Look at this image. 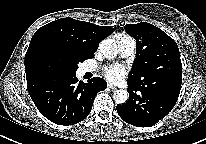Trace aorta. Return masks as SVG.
<instances>
[{
    "label": "aorta",
    "mask_w": 206,
    "mask_h": 144,
    "mask_svg": "<svg viewBox=\"0 0 206 144\" xmlns=\"http://www.w3.org/2000/svg\"><path fill=\"white\" fill-rule=\"evenodd\" d=\"M99 49L106 58H114L119 52L118 45L112 39H105L100 43ZM129 94L126 90L119 89L114 92V100L117 104H124Z\"/></svg>",
    "instance_id": "aorta-1"
}]
</instances>
